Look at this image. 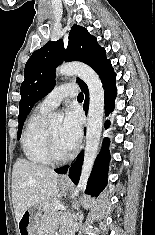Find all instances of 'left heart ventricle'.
<instances>
[{"label":"left heart ventricle","mask_w":155,"mask_h":235,"mask_svg":"<svg viewBox=\"0 0 155 235\" xmlns=\"http://www.w3.org/2000/svg\"><path fill=\"white\" fill-rule=\"evenodd\" d=\"M49 130H50L51 135L53 137L55 149H56L57 153L60 155H65V154L69 153V150L64 146V144L62 143L61 138H60L61 124L56 123L54 125H51L49 127Z\"/></svg>","instance_id":"obj_1"}]
</instances>
